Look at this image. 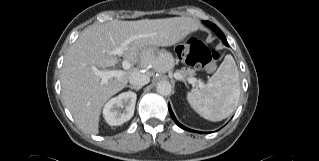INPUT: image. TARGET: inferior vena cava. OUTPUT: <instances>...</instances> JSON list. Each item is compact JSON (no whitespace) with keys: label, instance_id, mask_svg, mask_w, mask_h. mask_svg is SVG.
Instances as JSON below:
<instances>
[{"label":"inferior vena cava","instance_id":"602c4592","mask_svg":"<svg viewBox=\"0 0 319 161\" xmlns=\"http://www.w3.org/2000/svg\"><path fill=\"white\" fill-rule=\"evenodd\" d=\"M150 77L147 74L141 73L139 71L133 72L129 77V83L134 87H142L148 84Z\"/></svg>","mask_w":319,"mask_h":161}]
</instances>
